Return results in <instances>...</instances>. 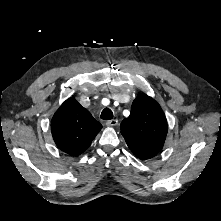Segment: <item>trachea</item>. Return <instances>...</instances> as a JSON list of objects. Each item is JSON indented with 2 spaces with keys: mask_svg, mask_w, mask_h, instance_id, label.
<instances>
[{
  "mask_svg": "<svg viewBox=\"0 0 221 221\" xmlns=\"http://www.w3.org/2000/svg\"><path fill=\"white\" fill-rule=\"evenodd\" d=\"M101 119L111 120L113 118V112L109 108H105L101 113Z\"/></svg>",
  "mask_w": 221,
  "mask_h": 221,
  "instance_id": "3493384b",
  "label": "trachea"
}]
</instances>
